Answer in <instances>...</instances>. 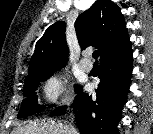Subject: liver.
Returning a JSON list of instances; mask_svg holds the SVG:
<instances>
[{
    "mask_svg": "<svg viewBox=\"0 0 153 134\" xmlns=\"http://www.w3.org/2000/svg\"><path fill=\"white\" fill-rule=\"evenodd\" d=\"M69 125L55 121L30 122L20 126L13 131V134H71Z\"/></svg>",
    "mask_w": 153,
    "mask_h": 134,
    "instance_id": "6515ba94",
    "label": "liver"
}]
</instances>
